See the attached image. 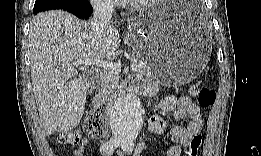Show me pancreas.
<instances>
[{
	"label": "pancreas",
	"instance_id": "1",
	"mask_svg": "<svg viewBox=\"0 0 261 156\" xmlns=\"http://www.w3.org/2000/svg\"><path fill=\"white\" fill-rule=\"evenodd\" d=\"M132 63L138 65L137 71L145 75L151 76V68L145 58L141 56L140 53L134 51L132 53ZM119 75L112 73L108 70L104 71L100 75L99 80V91L95 97V100L100 103H104L115 95L118 89Z\"/></svg>",
	"mask_w": 261,
	"mask_h": 156
}]
</instances>
